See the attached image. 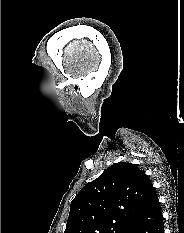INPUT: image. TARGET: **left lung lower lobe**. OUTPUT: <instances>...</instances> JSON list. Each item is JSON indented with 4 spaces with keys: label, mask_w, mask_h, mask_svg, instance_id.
I'll use <instances>...</instances> for the list:
<instances>
[{
    "label": "left lung lower lobe",
    "mask_w": 184,
    "mask_h": 233,
    "mask_svg": "<svg viewBox=\"0 0 184 233\" xmlns=\"http://www.w3.org/2000/svg\"><path fill=\"white\" fill-rule=\"evenodd\" d=\"M130 233H164V222L155 190L151 193Z\"/></svg>",
    "instance_id": "1"
}]
</instances>
